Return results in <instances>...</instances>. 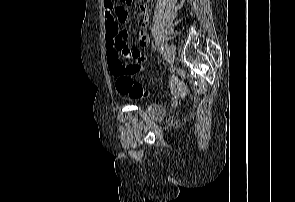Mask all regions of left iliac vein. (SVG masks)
<instances>
[{
    "label": "left iliac vein",
    "instance_id": "1",
    "mask_svg": "<svg viewBox=\"0 0 295 202\" xmlns=\"http://www.w3.org/2000/svg\"><path fill=\"white\" fill-rule=\"evenodd\" d=\"M175 55H176L175 45L174 44H170L167 47V57H168V61H169L170 64H172L174 62Z\"/></svg>",
    "mask_w": 295,
    "mask_h": 202
}]
</instances>
